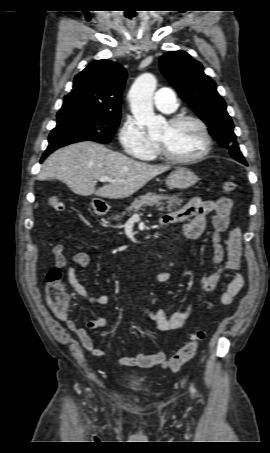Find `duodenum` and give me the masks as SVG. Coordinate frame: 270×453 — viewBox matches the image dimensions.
I'll return each mask as SVG.
<instances>
[{"label":"duodenum","instance_id":"1","mask_svg":"<svg viewBox=\"0 0 270 453\" xmlns=\"http://www.w3.org/2000/svg\"><path fill=\"white\" fill-rule=\"evenodd\" d=\"M98 213H99L100 215H104V214L107 213V209H106V208L98 209Z\"/></svg>","mask_w":270,"mask_h":453}]
</instances>
